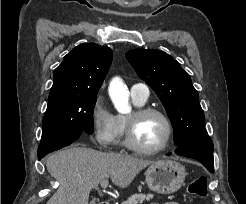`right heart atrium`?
Segmentation results:
<instances>
[{
  "label": "right heart atrium",
  "instance_id": "1",
  "mask_svg": "<svg viewBox=\"0 0 246 204\" xmlns=\"http://www.w3.org/2000/svg\"><path fill=\"white\" fill-rule=\"evenodd\" d=\"M91 126L92 139L97 146L106 148L112 143L116 130V116L101 94L96 96L91 109Z\"/></svg>",
  "mask_w": 246,
  "mask_h": 204
}]
</instances>
